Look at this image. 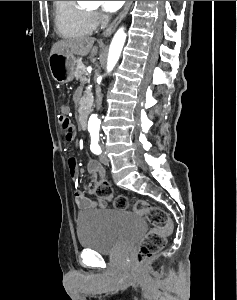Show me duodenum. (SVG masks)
Instances as JSON below:
<instances>
[{
  "mask_svg": "<svg viewBox=\"0 0 237 300\" xmlns=\"http://www.w3.org/2000/svg\"><path fill=\"white\" fill-rule=\"evenodd\" d=\"M79 123H80V128L82 130H85L87 128V116L86 114L82 111L79 115Z\"/></svg>",
  "mask_w": 237,
  "mask_h": 300,
  "instance_id": "1",
  "label": "duodenum"
}]
</instances>
